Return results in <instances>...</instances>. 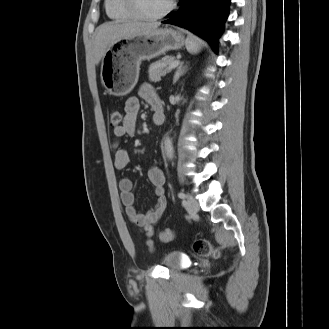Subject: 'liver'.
<instances>
[{"label":"liver","mask_w":329,"mask_h":329,"mask_svg":"<svg viewBox=\"0 0 329 329\" xmlns=\"http://www.w3.org/2000/svg\"><path fill=\"white\" fill-rule=\"evenodd\" d=\"M159 27L158 23L108 22L95 31L94 62L99 64L110 45L118 39L148 34Z\"/></svg>","instance_id":"obj_1"}]
</instances>
